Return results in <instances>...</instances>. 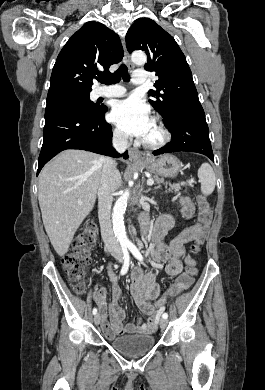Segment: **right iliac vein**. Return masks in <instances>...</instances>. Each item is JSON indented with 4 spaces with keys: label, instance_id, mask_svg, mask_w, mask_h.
I'll return each mask as SVG.
<instances>
[{
    "label": "right iliac vein",
    "instance_id": "right-iliac-vein-1",
    "mask_svg": "<svg viewBox=\"0 0 265 390\" xmlns=\"http://www.w3.org/2000/svg\"><path fill=\"white\" fill-rule=\"evenodd\" d=\"M117 260H118L119 262H122V261H123V257L118 256V257H117ZM94 323H95L96 325H98V324L100 323V315H99V314H96V315L94 316Z\"/></svg>",
    "mask_w": 265,
    "mask_h": 390
}]
</instances>
